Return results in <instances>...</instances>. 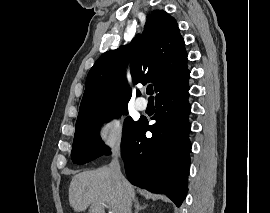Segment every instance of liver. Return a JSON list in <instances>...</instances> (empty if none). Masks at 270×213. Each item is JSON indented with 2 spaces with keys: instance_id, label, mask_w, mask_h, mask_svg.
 I'll return each instance as SVG.
<instances>
[{
  "instance_id": "6515ba94",
  "label": "liver",
  "mask_w": 270,
  "mask_h": 213,
  "mask_svg": "<svg viewBox=\"0 0 270 213\" xmlns=\"http://www.w3.org/2000/svg\"><path fill=\"white\" fill-rule=\"evenodd\" d=\"M135 200L134 187L124 178H114L110 167L84 171L72 177L69 186V203L74 212L105 213L107 204L115 213L131 211Z\"/></svg>"
}]
</instances>
